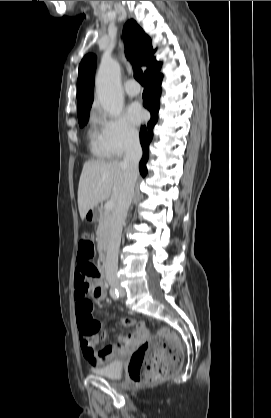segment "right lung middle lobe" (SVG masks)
Wrapping results in <instances>:
<instances>
[{
	"mask_svg": "<svg viewBox=\"0 0 271 418\" xmlns=\"http://www.w3.org/2000/svg\"><path fill=\"white\" fill-rule=\"evenodd\" d=\"M88 116H89V113L78 116V121H79L80 127H83L87 123Z\"/></svg>",
	"mask_w": 271,
	"mask_h": 418,
	"instance_id": "dd1d6c3e",
	"label": "right lung middle lobe"
}]
</instances>
